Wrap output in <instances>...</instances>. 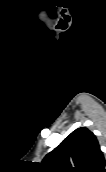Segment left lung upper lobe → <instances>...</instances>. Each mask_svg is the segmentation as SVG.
Returning <instances> with one entry per match:
<instances>
[{
	"label": "left lung upper lobe",
	"mask_w": 106,
	"mask_h": 172,
	"mask_svg": "<svg viewBox=\"0 0 106 172\" xmlns=\"http://www.w3.org/2000/svg\"><path fill=\"white\" fill-rule=\"evenodd\" d=\"M44 172H105V160L95 135L86 127L73 131L40 164Z\"/></svg>",
	"instance_id": "1"
}]
</instances>
